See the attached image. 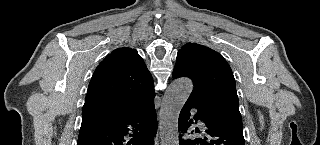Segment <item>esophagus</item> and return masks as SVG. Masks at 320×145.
Segmentation results:
<instances>
[{
  "label": "esophagus",
  "mask_w": 320,
  "mask_h": 145,
  "mask_svg": "<svg viewBox=\"0 0 320 145\" xmlns=\"http://www.w3.org/2000/svg\"><path fill=\"white\" fill-rule=\"evenodd\" d=\"M155 142H156V144H158V142H159L158 136L156 137Z\"/></svg>",
  "instance_id": "obj_1"
}]
</instances>
